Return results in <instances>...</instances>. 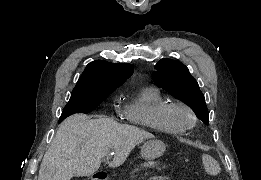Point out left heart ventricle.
I'll use <instances>...</instances> for the list:
<instances>
[{"label": "left heart ventricle", "mask_w": 261, "mask_h": 180, "mask_svg": "<svg viewBox=\"0 0 261 180\" xmlns=\"http://www.w3.org/2000/svg\"><path fill=\"white\" fill-rule=\"evenodd\" d=\"M170 116L175 120H181L184 117L183 113L178 110H172Z\"/></svg>", "instance_id": "left-heart-ventricle-1"}]
</instances>
